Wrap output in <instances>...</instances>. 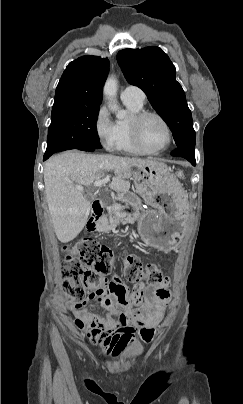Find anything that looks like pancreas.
I'll use <instances>...</instances> for the list:
<instances>
[{"mask_svg":"<svg viewBox=\"0 0 243 404\" xmlns=\"http://www.w3.org/2000/svg\"><path fill=\"white\" fill-rule=\"evenodd\" d=\"M108 213L104 214V218L98 220L96 224V228L98 232H110L112 228H117L118 224L123 223V225L135 224L137 216L135 213H132L127 216L128 220H122L121 214H124L123 210H125V206H120V204H115V206H111V208H107Z\"/></svg>","mask_w":243,"mask_h":404,"instance_id":"1","label":"pancreas"}]
</instances>
